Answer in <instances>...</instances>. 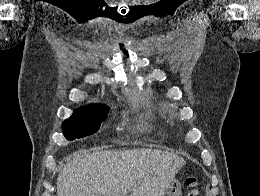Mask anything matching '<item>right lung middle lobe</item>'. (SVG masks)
Wrapping results in <instances>:
<instances>
[{"label": "right lung middle lobe", "instance_id": "dd1d6c3e", "mask_svg": "<svg viewBox=\"0 0 260 196\" xmlns=\"http://www.w3.org/2000/svg\"><path fill=\"white\" fill-rule=\"evenodd\" d=\"M107 110H75L73 115L62 124L67 140H74L94 134L106 118Z\"/></svg>", "mask_w": 260, "mask_h": 196}]
</instances>
